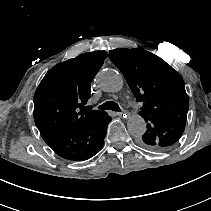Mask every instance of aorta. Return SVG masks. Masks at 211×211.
Listing matches in <instances>:
<instances>
[{
	"label": "aorta",
	"instance_id": "1",
	"mask_svg": "<svg viewBox=\"0 0 211 211\" xmlns=\"http://www.w3.org/2000/svg\"><path fill=\"white\" fill-rule=\"evenodd\" d=\"M96 82L105 92H118L123 87V77L114 69H104L96 76ZM127 128L134 136H141L146 131V123L139 114L131 115Z\"/></svg>",
	"mask_w": 211,
	"mask_h": 211
}]
</instances>
